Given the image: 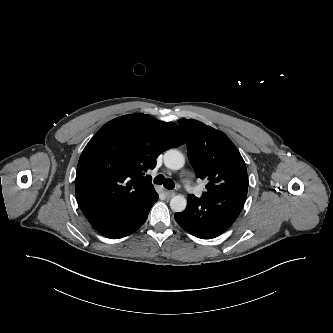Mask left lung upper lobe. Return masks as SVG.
Wrapping results in <instances>:
<instances>
[{
	"mask_svg": "<svg viewBox=\"0 0 333 333\" xmlns=\"http://www.w3.org/2000/svg\"><path fill=\"white\" fill-rule=\"evenodd\" d=\"M178 123L186 134L188 156L197 176L208 182L202 195L228 187L248 188L245 162L224 133L197 120Z\"/></svg>",
	"mask_w": 333,
	"mask_h": 333,
	"instance_id": "left-lung-upper-lobe-1",
	"label": "left lung upper lobe"
}]
</instances>
